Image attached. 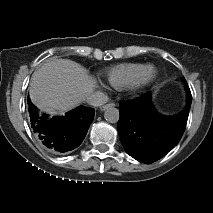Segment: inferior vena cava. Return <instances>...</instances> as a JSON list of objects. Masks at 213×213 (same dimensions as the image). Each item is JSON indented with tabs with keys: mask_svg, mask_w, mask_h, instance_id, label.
<instances>
[{
	"mask_svg": "<svg viewBox=\"0 0 213 213\" xmlns=\"http://www.w3.org/2000/svg\"><path fill=\"white\" fill-rule=\"evenodd\" d=\"M108 99L107 94L101 91H95L86 98V102L91 106L98 107L107 103Z\"/></svg>",
	"mask_w": 213,
	"mask_h": 213,
	"instance_id": "1",
	"label": "inferior vena cava"
}]
</instances>
